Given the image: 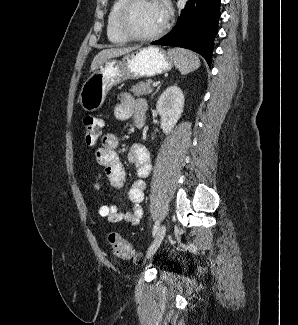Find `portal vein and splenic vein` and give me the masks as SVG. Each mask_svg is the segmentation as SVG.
Instances as JSON below:
<instances>
[{
  "label": "portal vein and splenic vein",
  "instance_id": "18ae733b",
  "mask_svg": "<svg viewBox=\"0 0 298 325\" xmlns=\"http://www.w3.org/2000/svg\"><path fill=\"white\" fill-rule=\"evenodd\" d=\"M159 82H152V86H158Z\"/></svg>",
  "mask_w": 298,
  "mask_h": 325
}]
</instances>
